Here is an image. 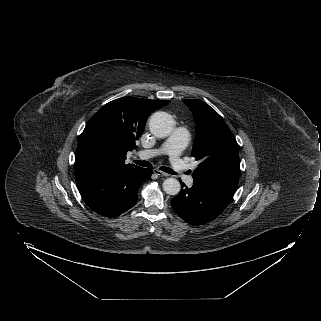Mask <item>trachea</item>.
<instances>
[{
    "label": "trachea",
    "mask_w": 321,
    "mask_h": 321,
    "mask_svg": "<svg viewBox=\"0 0 321 321\" xmlns=\"http://www.w3.org/2000/svg\"><path fill=\"white\" fill-rule=\"evenodd\" d=\"M134 163L139 165V166H143V167H152V164L150 162H148V161L134 160ZM160 170H162V171H164V172H166L168 174L176 175V172L173 171L169 167L162 166V167H160Z\"/></svg>",
    "instance_id": "1"
}]
</instances>
